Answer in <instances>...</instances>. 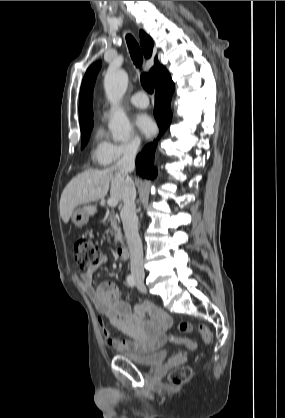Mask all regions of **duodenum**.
Here are the masks:
<instances>
[{
  "mask_svg": "<svg viewBox=\"0 0 285 418\" xmlns=\"http://www.w3.org/2000/svg\"><path fill=\"white\" fill-rule=\"evenodd\" d=\"M117 256L120 260H127L129 258V248L127 246H120L117 249Z\"/></svg>",
  "mask_w": 285,
  "mask_h": 418,
  "instance_id": "1",
  "label": "duodenum"
}]
</instances>
